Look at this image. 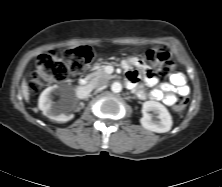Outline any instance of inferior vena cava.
<instances>
[{"label": "inferior vena cava", "mask_w": 222, "mask_h": 187, "mask_svg": "<svg viewBox=\"0 0 222 187\" xmlns=\"http://www.w3.org/2000/svg\"><path fill=\"white\" fill-rule=\"evenodd\" d=\"M107 83L108 81L106 79L96 77L91 81V87L95 89H100L105 87Z\"/></svg>", "instance_id": "obj_1"}]
</instances>
